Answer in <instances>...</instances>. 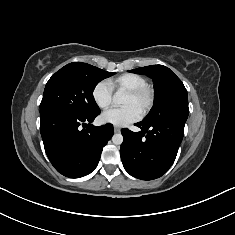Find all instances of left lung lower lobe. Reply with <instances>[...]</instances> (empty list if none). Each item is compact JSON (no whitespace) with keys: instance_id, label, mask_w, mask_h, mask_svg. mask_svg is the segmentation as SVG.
Masks as SVG:
<instances>
[{"instance_id":"1","label":"left lung lower lobe","mask_w":235,"mask_h":235,"mask_svg":"<svg viewBox=\"0 0 235 235\" xmlns=\"http://www.w3.org/2000/svg\"><path fill=\"white\" fill-rule=\"evenodd\" d=\"M185 122L163 118L135 124L140 132L122 129L124 140L120 155L125 170L142 180H153L165 174L176 158Z\"/></svg>"}]
</instances>
